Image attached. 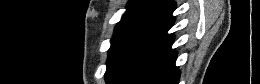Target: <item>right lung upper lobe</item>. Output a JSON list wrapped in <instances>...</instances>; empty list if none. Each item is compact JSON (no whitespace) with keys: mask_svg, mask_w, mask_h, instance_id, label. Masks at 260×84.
I'll list each match as a JSON object with an SVG mask.
<instances>
[{"mask_svg":"<svg viewBox=\"0 0 260 84\" xmlns=\"http://www.w3.org/2000/svg\"><path fill=\"white\" fill-rule=\"evenodd\" d=\"M115 28V34L134 27L170 28L176 4L171 0H132Z\"/></svg>","mask_w":260,"mask_h":84,"instance_id":"obj_1","label":"right lung upper lobe"}]
</instances>
